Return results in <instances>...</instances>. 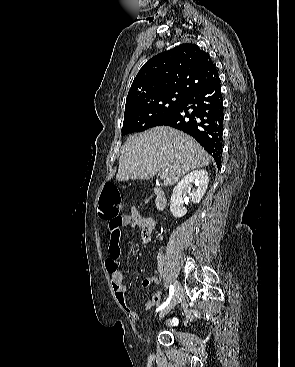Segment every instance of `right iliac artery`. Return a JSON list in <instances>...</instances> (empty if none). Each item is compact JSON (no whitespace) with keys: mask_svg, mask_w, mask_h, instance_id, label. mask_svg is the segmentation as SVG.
<instances>
[{"mask_svg":"<svg viewBox=\"0 0 295 367\" xmlns=\"http://www.w3.org/2000/svg\"><path fill=\"white\" fill-rule=\"evenodd\" d=\"M163 261H164L163 256L162 255L159 256L158 257V263L159 264H163ZM174 291H175L174 286L173 285H170L168 299L160 307H158L156 311H160V310L164 309L169 304V302L171 301V299H172V297L174 295Z\"/></svg>","mask_w":295,"mask_h":367,"instance_id":"1","label":"right iliac artery"}]
</instances>
